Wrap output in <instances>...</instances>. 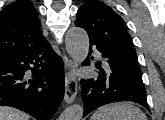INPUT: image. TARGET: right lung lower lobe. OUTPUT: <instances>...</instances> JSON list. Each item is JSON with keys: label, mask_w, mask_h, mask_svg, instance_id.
<instances>
[{"label": "right lung lower lobe", "mask_w": 165, "mask_h": 120, "mask_svg": "<svg viewBox=\"0 0 165 120\" xmlns=\"http://www.w3.org/2000/svg\"><path fill=\"white\" fill-rule=\"evenodd\" d=\"M32 72L29 79L26 71ZM64 66L49 42L0 58V105L50 120L64 97Z\"/></svg>", "instance_id": "98d812e1"}]
</instances>
